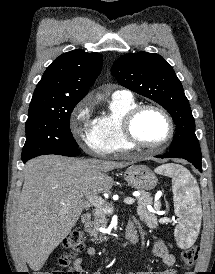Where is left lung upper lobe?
I'll return each instance as SVG.
<instances>
[{
    "mask_svg": "<svg viewBox=\"0 0 215 274\" xmlns=\"http://www.w3.org/2000/svg\"><path fill=\"white\" fill-rule=\"evenodd\" d=\"M112 75L123 87L154 100L170 113L176 125L170 152L201 156L189 101L163 57L147 52L123 55L113 64Z\"/></svg>",
    "mask_w": 215,
    "mask_h": 274,
    "instance_id": "obj_1",
    "label": "left lung upper lobe"
}]
</instances>
